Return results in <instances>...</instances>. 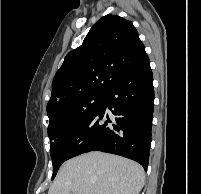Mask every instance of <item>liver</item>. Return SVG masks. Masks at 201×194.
Masks as SVG:
<instances>
[{
    "label": "liver",
    "mask_w": 201,
    "mask_h": 194,
    "mask_svg": "<svg viewBox=\"0 0 201 194\" xmlns=\"http://www.w3.org/2000/svg\"><path fill=\"white\" fill-rule=\"evenodd\" d=\"M144 180V169L138 163L89 152L63 164L48 194H139Z\"/></svg>",
    "instance_id": "6515ba94"
}]
</instances>
